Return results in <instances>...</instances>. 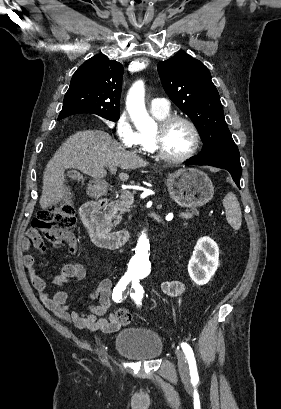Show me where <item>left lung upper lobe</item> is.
Here are the masks:
<instances>
[{
	"label": "left lung upper lobe",
	"mask_w": 281,
	"mask_h": 409,
	"mask_svg": "<svg viewBox=\"0 0 281 409\" xmlns=\"http://www.w3.org/2000/svg\"><path fill=\"white\" fill-rule=\"evenodd\" d=\"M163 88L196 125L204 143L197 157L239 156L208 68L185 52L158 63Z\"/></svg>",
	"instance_id": "obj_1"
}]
</instances>
